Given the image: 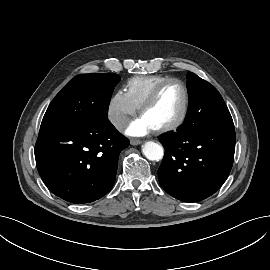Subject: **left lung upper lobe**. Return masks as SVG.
I'll return each mask as SVG.
<instances>
[{"label": "left lung upper lobe", "instance_id": "5c2ea615", "mask_svg": "<svg viewBox=\"0 0 270 270\" xmlns=\"http://www.w3.org/2000/svg\"><path fill=\"white\" fill-rule=\"evenodd\" d=\"M187 90L190 122L204 127L234 125L222 96L210 83L189 72Z\"/></svg>", "mask_w": 270, "mask_h": 270}]
</instances>
